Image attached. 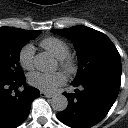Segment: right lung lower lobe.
Here are the masks:
<instances>
[{
  "mask_svg": "<svg viewBox=\"0 0 128 128\" xmlns=\"http://www.w3.org/2000/svg\"><path fill=\"white\" fill-rule=\"evenodd\" d=\"M25 81L24 75L15 80L0 79V128L19 126L28 116L31 102L40 96L38 89L28 86L18 92V87L25 84Z\"/></svg>",
  "mask_w": 128,
  "mask_h": 128,
  "instance_id": "right-lung-lower-lobe-1",
  "label": "right lung lower lobe"
}]
</instances>
